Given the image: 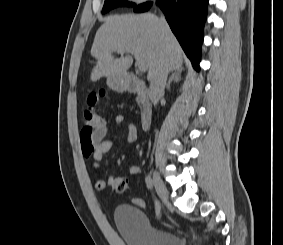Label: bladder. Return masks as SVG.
<instances>
[{"instance_id":"1","label":"bladder","mask_w":283,"mask_h":245,"mask_svg":"<svg viewBox=\"0 0 283 245\" xmlns=\"http://www.w3.org/2000/svg\"><path fill=\"white\" fill-rule=\"evenodd\" d=\"M114 221L126 245H185L177 234L151 224L145 213L136 206H116Z\"/></svg>"}]
</instances>
